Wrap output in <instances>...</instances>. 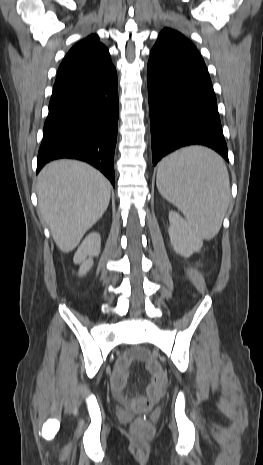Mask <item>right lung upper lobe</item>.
<instances>
[{
    "label": "right lung upper lobe",
    "mask_w": 263,
    "mask_h": 465,
    "mask_svg": "<svg viewBox=\"0 0 263 465\" xmlns=\"http://www.w3.org/2000/svg\"><path fill=\"white\" fill-rule=\"evenodd\" d=\"M113 67L107 48L96 34L90 35L70 49L58 69L56 83L97 75Z\"/></svg>",
    "instance_id": "right-lung-upper-lobe-1"
}]
</instances>
